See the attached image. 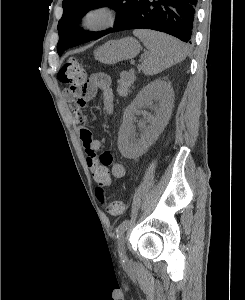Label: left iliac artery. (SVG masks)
I'll return each instance as SVG.
<instances>
[{"label": "left iliac artery", "mask_w": 245, "mask_h": 300, "mask_svg": "<svg viewBox=\"0 0 245 300\" xmlns=\"http://www.w3.org/2000/svg\"><path fill=\"white\" fill-rule=\"evenodd\" d=\"M130 221L129 220H124L117 228L116 230V237L119 240L122 234L127 230L129 226Z\"/></svg>", "instance_id": "44dca946"}]
</instances>
